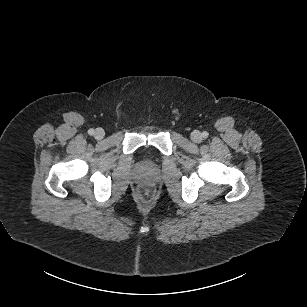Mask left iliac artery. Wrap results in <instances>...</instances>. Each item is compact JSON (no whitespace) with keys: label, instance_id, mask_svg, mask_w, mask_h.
<instances>
[{"label":"left iliac artery","instance_id":"left-iliac-artery-1","mask_svg":"<svg viewBox=\"0 0 307 307\" xmlns=\"http://www.w3.org/2000/svg\"><path fill=\"white\" fill-rule=\"evenodd\" d=\"M208 135H209V133H208V132H206V131L202 132V137H203V138H207V137H208Z\"/></svg>","mask_w":307,"mask_h":307}]
</instances>
